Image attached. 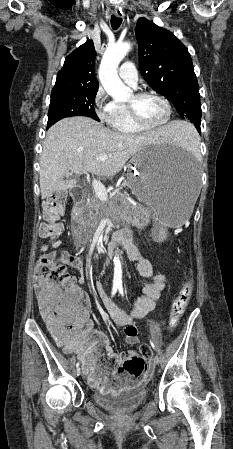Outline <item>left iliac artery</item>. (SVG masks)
Segmentation results:
<instances>
[{
    "instance_id": "obj_1",
    "label": "left iliac artery",
    "mask_w": 233,
    "mask_h": 449,
    "mask_svg": "<svg viewBox=\"0 0 233 449\" xmlns=\"http://www.w3.org/2000/svg\"><path fill=\"white\" fill-rule=\"evenodd\" d=\"M118 290H119V293H120L122 296H124V292H123V287H122V285L118 286ZM150 344H151L152 348H153L154 350H156V347H155V345L153 344L152 340H150Z\"/></svg>"
}]
</instances>
